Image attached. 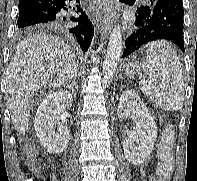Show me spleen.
<instances>
[{"label":"spleen","mask_w":197,"mask_h":181,"mask_svg":"<svg viewBox=\"0 0 197 181\" xmlns=\"http://www.w3.org/2000/svg\"><path fill=\"white\" fill-rule=\"evenodd\" d=\"M147 56L143 69L148 78L140 89L158 106L167 111H178L184 103V82L181 63L173 47L166 41L145 45Z\"/></svg>","instance_id":"spleen-1"}]
</instances>
